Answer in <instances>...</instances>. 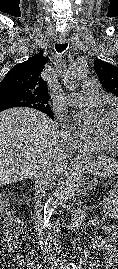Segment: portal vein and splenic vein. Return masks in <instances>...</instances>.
Segmentation results:
<instances>
[{"mask_svg":"<svg viewBox=\"0 0 118 269\" xmlns=\"http://www.w3.org/2000/svg\"><path fill=\"white\" fill-rule=\"evenodd\" d=\"M104 186H105V187H107L108 185H107V184H105Z\"/></svg>","mask_w":118,"mask_h":269,"instance_id":"obj_1","label":"portal vein and splenic vein"}]
</instances>
